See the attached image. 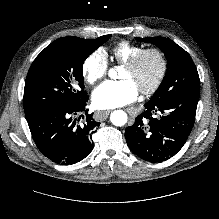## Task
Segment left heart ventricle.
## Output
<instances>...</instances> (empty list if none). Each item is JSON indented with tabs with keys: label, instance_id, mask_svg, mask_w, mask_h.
Wrapping results in <instances>:
<instances>
[{
	"label": "left heart ventricle",
	"instance_id": "left-heart-ventricle-1",
	"mask_svg": "<svg viewBox=\"0 0 219 219\" xmlns=\"http://www.w3.org/2000/svg\"><path fill=\"white\" fill-rule=\"evenodd\" d=\"M159 67L160 63L157 56L149 54L141 60L135 69L129 70L123 67L120 79L129 80L140 90L150 86L154 82L158 75Z\"/></svg>",
	"mask_w": 219,
	"mask_h": 219
}]
</instances>
